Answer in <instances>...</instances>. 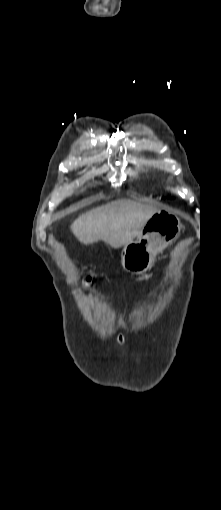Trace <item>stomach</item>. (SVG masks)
Instances as JSON below:
<instances>
[{"mask_svg":"<svg viewBox=\"0 0 221 510\" xmlns=\"http://www.w3.org/2000/svg\"><path fill=\"white\" fill-rule=\"evenodd\" d=\"M181 228L176 215L161 210L154 213L137 239L124 246L121 252L123 269L130 273L146 271L156 256L178 237Z\"/></svg>","mask_w":221,"mask_h":510,"instance_id":"0dacf381","label":"stomach"}]
</instances>
